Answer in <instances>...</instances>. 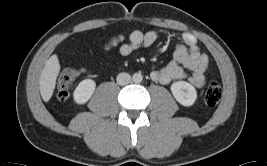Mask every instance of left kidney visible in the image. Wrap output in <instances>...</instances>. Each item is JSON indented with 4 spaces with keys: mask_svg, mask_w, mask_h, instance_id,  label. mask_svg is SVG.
I'll return each mask as SVG.
<instances>
[{
    "mask_svg": "<svg viewBox=\"0 0 267 166\" xmlns=\"http://www.w3.org/2000/svg\"><path fill=\"white\" fill-rule=\"evenodd\" d=\"M171 91L175 99L183 106H192L197 99L196 89L185 81L173 83Z\"/></svg>",
    "mask_w": 267,
    "mask_h": 166,
    "instance_id": "obj_1",
    "label": "left kidney"
}]
</instances>
